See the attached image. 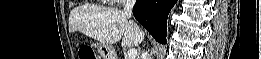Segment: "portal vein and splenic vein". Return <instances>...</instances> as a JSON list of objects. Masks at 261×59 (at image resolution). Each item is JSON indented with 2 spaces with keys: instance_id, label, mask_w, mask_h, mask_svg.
Returning <instances> with one entry per match:
<instances>
[{
  "instance_id": "obj_1",
  "label": "portal vein and splenic vein",
  "mask_w": 261,
  "mask_h": 59,
  "mask_svg": "<svg viewBox=\"0 0 261 59\" xmlns=\"http://www.w3.org/2000/svg\"><path fill=\"white\" fill-rule=\"evenodd\" d=\"M136 56H137V50L136 49H130V50H128L126 59H135Z\"/></svg>"
}]
</instances>
